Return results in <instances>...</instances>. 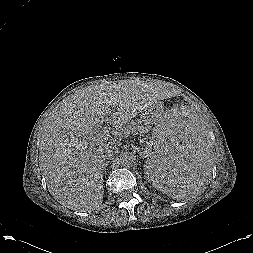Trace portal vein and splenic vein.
<instances>
[{
  "label": "portal vein and splenic vein",
  "instance_id": "1",
  "mask_svg": "<svg viewBox=\"0 0 253 253\" xmlns=\"http://www.w3.org/2000/svg\"><path fill=\"white\" fill-rule=\"evenodd\" d=\"M97 135H98V138H96V139L94 138V141H99L102 138L106 140L110 136L109 130L106 128L103 131H101L100 133H98ZM146 149H147V147H146Z\"/></svg>",
  "mask_w": 253,
  "mask_h": 253
}]
</instances>
